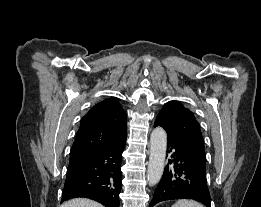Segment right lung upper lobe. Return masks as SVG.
Returning <instances> with one entry per match:
<instances>
[{
  "instance_id": "right-lung-upper-lobe-1",
  "label": "right lung upper lobe",
  "mask_w": 261,
  "mask_h": 207,
  "mask_svg": "<svg viewBox=\"0 0 261 207\" xmlns=\"http://www.w3.org/2000/svg\"><path fill=\"white\" fill-rule=\"evenodd\" d=\"M126 112L115 98L99 102L82 118L70 158L117 145L126 140Z\"/></svg>"
}]
</instances>
